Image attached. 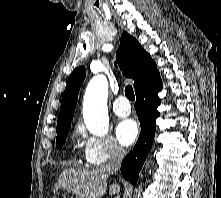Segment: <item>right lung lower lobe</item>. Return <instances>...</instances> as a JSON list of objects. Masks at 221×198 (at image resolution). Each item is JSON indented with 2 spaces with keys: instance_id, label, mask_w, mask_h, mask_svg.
<instances>
[{
  "instance_id": "obj_1",
  "label": "right lung lower lobe",
  "mask_w": 221,
  "mask_h": 198,
  "mask_svg": "<svg viewBox=\"0 0 221 198\" xmlns=\"http://www.w3.org/2000/svg\"><path fill=\"white\" fill-rule=\"evenodd\" d=\"M161 89L162 82L158 74L143 89L136 92L135 109L140 121L141 133L133 150L121 164L123 177L133 185H136L139 172L152 148L156 119L160 115L157 107L161 104V99L158 97Z\"/></svg>"
}]
</instances>
